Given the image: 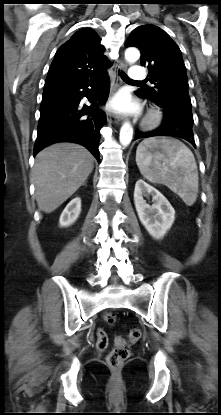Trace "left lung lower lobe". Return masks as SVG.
<instances>
[{
  "label": "left lung lower lobe",
  "mask_w": 221,
  "mask_h": 415,
  "mask_svg": "<svg viewBox=\"0 0 221 415\" xmlns=\"http://www.w3.org/2000/svg\"><path fill=\"white\" fill-rule=\"evenodd\" d=\"M135 93L141 97L137 92ZM156 104L163 109V123L158 129L150 132L136 131L134 140L154 136H174L183 138L195 146L192 131L193 114L191 111V103L171 100Z\"/></svg>",
  "instance_id": "left-lung-lower-lobe-1"
}]
</instances>
